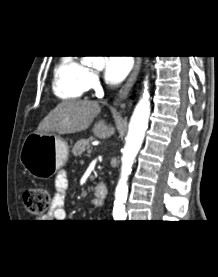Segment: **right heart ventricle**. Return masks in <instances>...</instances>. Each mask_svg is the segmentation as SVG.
<instances>
[{
    "instance_id": "obj_1",
    "label": "right heart ventricle",
    "mask_w": 218,
    "mask_h": 277,
    "mask_svg": "<svg viewBox=\"0 0 218 277\" xmlns=\"http://www.w3.org/2000/svg\"><path fill=\"white\" fill-rule=\"evenodd\" d=\"M88 73V67L77 58L62 57L54 69L53 93L63 100L81 98L88 89Z\"/></svg>"
}]
</instances>
